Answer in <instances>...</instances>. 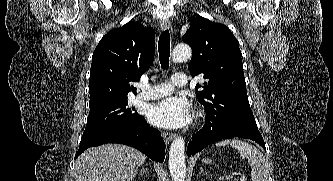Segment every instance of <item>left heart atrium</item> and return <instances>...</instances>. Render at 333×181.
<instances>
[{"label": "left heart atrium", "instance_id": "obj_1", "mask_svg": "<svg viewBox=\"0 0 333 181\" xmlns=\"http://www.w3.org/2000/svg\"><path fill=\"white\" fill-rule=\"evenodd\" d=\"M147 115L153 125L163 128L183 127L192 119L188 101L176 96L152 104Z\"/></svg>", "mask_w": 333, "mask_h": 181}]
</instances>
